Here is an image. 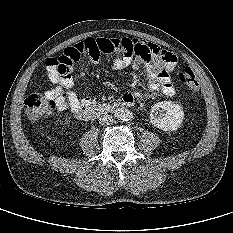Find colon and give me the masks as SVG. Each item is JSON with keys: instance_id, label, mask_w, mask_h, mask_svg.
Masks as SVG:
<instances>
[{"instance_id": "1", "label": "colon", "mask_w": 233, "mask_h": 233, "mask_svg": "<svg viewBox=\"0 0 233 233\" xmlns=\"http://www.w3.org/2000/svg\"><path fill=\"white\" fill-rule=\"evenodd\" d=\"M133 48L127 39H86L73 47L66 48L58 58H52L53 66L61 75L69 74L74 63L80 60L98 61L102 56L115 53L132 54ZM182 84L192 90L199 87L194 72L185 67L179 74ZM27 113L32 119H39L50 114L56 101L52 93L34 92L25 99Z\"/></svg>"}]
</instances>
